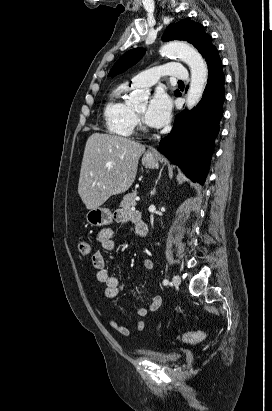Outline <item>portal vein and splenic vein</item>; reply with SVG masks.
<instances>
[{
    "instance_id": "obj_1",
    "label": "portal vein and splenic vein",
    "mask_w": 272,
    "mask_h": 411,
    "mask_svg": "<svg viewBox=\"0 0 272 411\" xmlns=\"http://www.w3.org/2000/svg\"><path fill=\"white\" fill-rule=\"evenodd\" d=\"M135 200H136V201H140V197L137 196V197L135 198Z\"/></svg>"
}]
</instances>
